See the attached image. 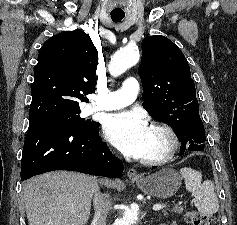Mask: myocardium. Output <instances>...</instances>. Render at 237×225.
I'll return each mask as SVG.
<instances>
[{
	"mask_svg": "<svg viewBox=\"0 0 237 225\" xmlns=\"http://www.w3.org/2000/svg\"><path fill=\"white\" fill-rule=\"evenodd\" d=\"M149 128L162 134L166 138L168 145L164 153L157 156L142 158L141 162L143 164L152 166L163 165L173 159V157L176 155L179 149L178 136L170 126L163 123L153 122L150 124Z\"/></svg>",
	"mask_w": 237,
	"mask_h": 225,
	"instance_id": "obj_1",
	"label": "myocardium"
}]
</instances>
